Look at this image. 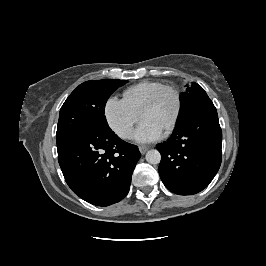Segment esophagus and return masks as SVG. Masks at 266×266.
<instances>
[{
    "mask_svg": "<svg viewBox=\"0 0 266 266\" xmlns=\"http://www.w3.org/2000/svg\"><path fill=\"white\" fill-rule=\"evenodd\" d=\"M149 147L148 146H139V151L141 154H145L148 151Z\"/></svg>",
    "mask_w": 266,
    "mask_h": 266,
    "instance_id": "esophagus-1",
    "label": "esophagus"
}]
</instances>
